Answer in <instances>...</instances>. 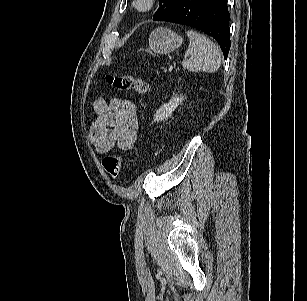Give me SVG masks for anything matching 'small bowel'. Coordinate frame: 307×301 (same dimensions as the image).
Segmentation results:
<instances>
[{
  "instance_id": "small-bowel-1",
  "label": "small bowel",
  "mask_w": 307,
  "mask_h": 301,
  "mask_svg": "<svg viewBox=\"0 0 307 301\" xmlns=\"http://www.w3.org/2000/svg\"><path fill=\"white\" fill-rule=\"evenodd\" d=\"M97 115L89 138L99 154H108L117 146L126 151L132 148L138 134V113L129 100L98 98L93 103Z\"/></svg>"
}]
</instances>
